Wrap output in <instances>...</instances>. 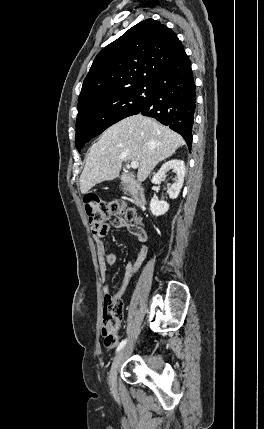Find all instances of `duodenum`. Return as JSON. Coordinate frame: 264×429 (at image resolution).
Segmentation results:
<instances>
[{"label": "duodenum", "mask_w": 264, "mask_h": 429, "mask_svg": "<svg viewBox=\"0 0 264 429\" xmlns=\"http://www.w3.org/2000/svg\"><path fill=\"white\" fill-rule=\"evenodd\" d=\"M121 180L128 186L134 202L138 208H144L146 204V197L141 185L129 176L121 177Z\"/></svg>", "instance_id": "1"}]
</instances>
